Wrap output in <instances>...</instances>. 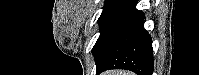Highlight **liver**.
Segmentation results:
<instances>
[{
	"mask_svg": "<svg viewBox=\"0 0 199 75\" xmlns=\"http://www.w3.org/2000/svg\"><path fill=\"white\" fill-rule=\"evenodd\" d=\"M104 75H134V73L129 71L113 70L105 72Z\"/></svg>",
	"mask_w": 199,
	"mask_h": 75,
	"instance_id": "liver-1",
	"label": "liver"
}]
</instances>
